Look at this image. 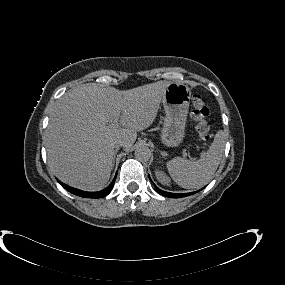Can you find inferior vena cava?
Segmentation results:
<instances>
[{"label": "inferior vena cava", "mask_w": 285, "mask_h": 285, "mask_svg": "<svg viewBox=\"0 0 285 285\" xmlns=\"http://www.w3.org/2000/svg\"><path fill=\"white\" fill-rule=\"evenodd\" d=\"M125 145V142L123 141V140H117L116 142H115V148H120V147H122V146H124Z\"/></svg>", "instance_id": "602c4592"}]
</instances>
